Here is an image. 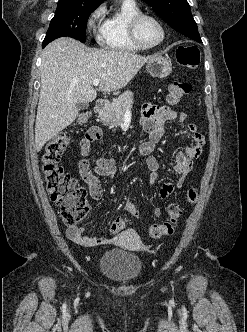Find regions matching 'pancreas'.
Returning a JSON list of instances; mask_svg holds the SVG:
<instances>
[{
  "instance_id": "pancreas-1",
  "label": "pancreas",
  "mask_w": 247,
  "mask_h": 332,
  "mask_svg": "<svg viewBox=\"0 0 247 332\" xmlns=\"http://www.w3.org/2000/svg\"><path fill=\"white\" fill-rule=\"evenodd\" d=\"M132 106L133 93L131 91H126L100 113L101 122L103 124H108L111 127L120 126L125 112L131 109Z\"/></svg>"
}]
</instances>
